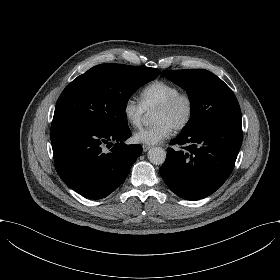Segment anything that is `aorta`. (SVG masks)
<instances>
[{"mask_svg":"<svg viewBox=\"0 0 280 280\" xmlns=\"http://www.w3.org/2000/svg\"><path fill=\"white\" fill-rule=\"evenodd\" d=\"M150 121V117H145L143 123ZM148 159L155 165H161L166 159V151L161 147H153L148 152Z\"/></svg>","mask_w":280,"mask_h":280,"instance_id":"1","label":"aorta"}]
</instances>
